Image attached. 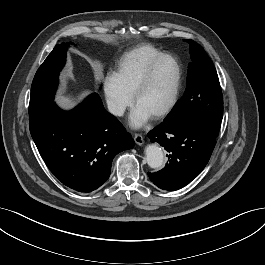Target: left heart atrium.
Returning a JSON list of instances; mask_svg holds the SVG:
<instances>
[{"label":"left heart atrium","instance_id":"1","mask_svg":"<svg viewBox=\"0 0 265 265\" xmlns=\"http://www.w3.org/2000/svg\"><path fill=\"white\" fill-rule=\"evenodd\" d=\"M150 119V115L135 106L130 115V124L134 128L143 126Z\"/></svg>","mask_w":265,"mask_h":265}]
</instances>
